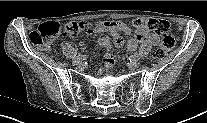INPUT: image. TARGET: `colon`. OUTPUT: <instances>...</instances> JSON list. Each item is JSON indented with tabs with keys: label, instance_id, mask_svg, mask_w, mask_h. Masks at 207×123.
I'll return each instance as SVG.
<instances>
[{
	"label": "colon",
	"instance_id": "1",
	"mask_svg": "<svg viewBox=\"0 0 207 123\" xmlns=\"http://www.w3.org/2000/svg\"><path fill=\"white\" fill-rule=\"evenodd\" d=\"M136 29H148L162 36L161 46L157 49L155 55L158 59L166 56L167 52L176 44L174 34L170 30L169 23L162 19L155 18H137L132 21ZM92 24L86 21H73L67 23L63 30L71 38L77 37L82 32H89ZM62 27L57 22H49L40 25L36 30L30 33V41L33 45L52 49L55 47L54 40L61 33Z\"/></svg>",
	"mask_w": 207,
	"mask_h": 123
}]
</instances>
